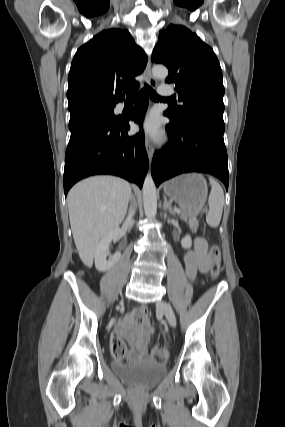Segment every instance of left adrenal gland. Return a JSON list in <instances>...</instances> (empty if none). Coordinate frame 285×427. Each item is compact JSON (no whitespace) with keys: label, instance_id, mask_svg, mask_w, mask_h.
<instances>
[{"label":"left adrenal gland","instance_id":"obj_1","mask_svg":"<svg viewBox=\"0 0 285 427\" xmlns=\"http://www.w3.org/2000/svg\"><path fill=\"white\" fill-rule=\"evenodd\" d=\"M163 209L168 210L170 214L175 215V212L172 210L171 204L167 201L166 196H164Z\"/></svg>","mask_w":285,"mask_h":427}]
</instances>
